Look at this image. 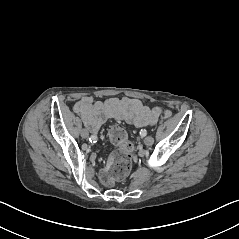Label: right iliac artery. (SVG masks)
Listing matches in <instances>:
<instances>
[{"mask_svg": "<svg viewBox=\"0 0 239 239\" xmlns=\"http://www.w3.org/2000/svg\"><path fill=\"white\" fill-rule=\"evenodd\" d=\"M90 140H91V142H96L97 141V137L95 135H92Z\"/></svg>", "mask_w": 239, "mask_h": 239, "instance_id": "82829eb1", "label": "right iliac artery"}]
</instances>
